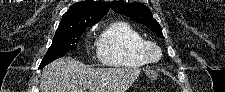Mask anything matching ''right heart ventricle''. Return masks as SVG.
I'll list each match as a JSON object with an SVG mask.
<instances>
[{"instance_id":"e07e8e85","label":"right heart ventricle","mask_w":225,"mask_h":92,"mask_svg":"<svg viewBox=\"0 0 225 92\" xmlns=\"http://www.w3.org/2000/svg\"><path fill=\"white\" fill-rule=\"evenodd\" d=\"M143 34L130 23L116 21L101 33L97 46L99 60L108 66H142L147 62L141 48Z\"/></svg>"}]
</instances>
